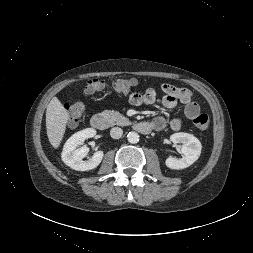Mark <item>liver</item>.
I'll return each mask as SVG.
<instances>
[{"instance_id":"6515ba94","label":"liver","mask_w":253,"mask_h":253,"mask_svg":"<svg viewBox=\"0 0 253 253\" xmlns=\"http://www.w3.org/2000/svg\"><path fill=\"white\" fill-rule=\"evenodd\" d=\"M69 117V112L59 99L53 97L46 109V129L49 142L55 149L62 141Z\"/></svg>"}]
</instances>
